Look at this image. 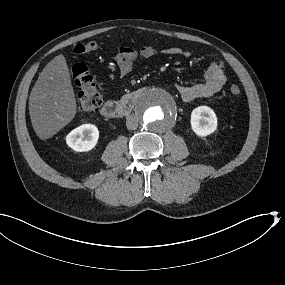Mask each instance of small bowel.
<instances>
[{
	"label": "small bowel",
	"instance_id": "1",
	"mask_svg": "<svg viewBox=\"0 0 285 285\" xmlns=\"http://www.w3.org/2000/svg\"><path fill=\"white\" fill-rule=\"evenodd\" d=\"M164 54L171 57H190L192 51L183 47H171L157 50L152 46L140 48L120 47L113 60L121 76H127L136 62L149 59L156 54ZM226 83V72L222 62H212L205 72L202 82L194 85L178 84L176 89L183 101L189 102L198 98H208L218 93Z\"/></svg>",
	"mask_w": 285,
	"mask_h": 285
}]
</instances>
